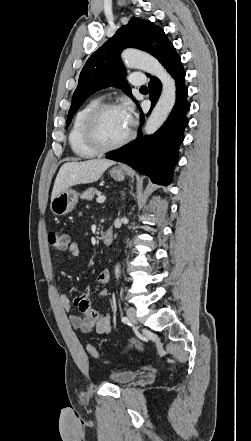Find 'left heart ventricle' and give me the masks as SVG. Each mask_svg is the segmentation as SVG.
<instances>
[{"label":"left heart ventricle","mask_w":251,"mask_h":441,"mask_svg":"<svg viewBox=\"0 0 251 441\" xmlns=\"http://www.w3.org/2000/svg\"><path fill=\"white\" fill-rule=\"evenodd\" d=\"M130 129V122L121 108L104 112L97 120L96 133L105 145H111L124 138Z\"/></svg>","instance_id":"obj_1"}]
</instances>
